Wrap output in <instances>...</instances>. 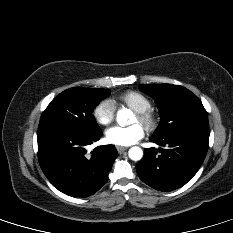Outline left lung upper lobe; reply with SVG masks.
<instances>
[{
	"label": "left lung upper lobe",
	"mask_w": 233,
	"mask_h": 233,
	"mask_svg": "<svg viewBox=\"0 0 233 233\" xmlns=\"http://www.w3.org/2000/svg\"><path fill=\"white\" fill-rule=\"evenodd\" d=\"M140 90L154 98L161 122L152 137L162 138L188 129H209L207 112L200 99L183 86L145 84Z\"/></svg>",
	"instance_id": "1"
}]
</instances>
